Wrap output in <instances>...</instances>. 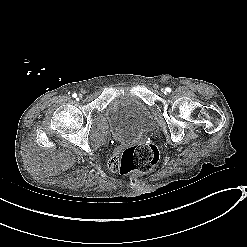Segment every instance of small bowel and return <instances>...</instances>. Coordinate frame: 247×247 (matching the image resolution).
Segmentation results:
<instances>
[{
    "instance_id": "c3829d8e",
    "label": "small bowel",
    "mask_w": 247,
    "mask_h": 247,
    "mask_svg": "<svg viewBox=\"0 0 247 247\" xmlns=\"http://www.w3.org/2000/svg\"><path fill=\"white\" fill-rule=\"evenodd\" d=\"M118 162L119 157L117 155H112L111 157L107 158L106 163L109 165V170L111 172H116L118 170Z\"/></svg>"
}]
</instances>
